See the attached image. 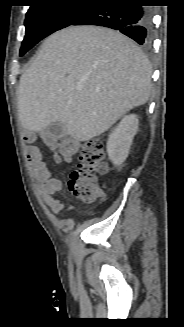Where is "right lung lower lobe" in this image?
Masks as SVG:
<instances>
[{
	"label": "right lung lower lobe",
	"mask_w": 184,
	"mask_h": 327,
	"mask_svg": "<svg viewBox=\"0 0 184 327\" xmlns=\"http://www.w3.org/2000/svg\"><path fill=\"white\" fill-rule=\"evenodd\" d=\"M143 0H95L72 25H97L119 30L140 45L151 42L150 10Z\"/></svg>",
	"instance_id": "obj_1"
}]
</instances>
